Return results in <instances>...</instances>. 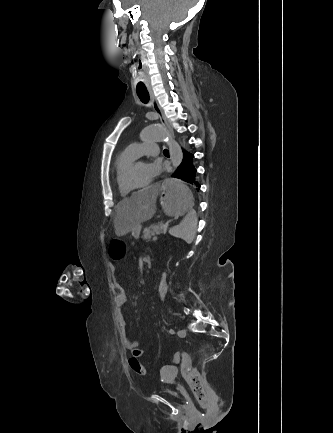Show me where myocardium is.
<instances>
[{
    "label": "myocardium",
    "mask_w": 333,
    "mask_h": 433,
    "mask_svg": "<svg viewBox=\"0 0 333 433\" xmlns=\"http://www.w3.org/2000/svg\"><path fill=\"white\" fill-rule=\"evenodd\" d=\"M139 161H137L136 159L133 161V162H131L127 167H126V169L124 170V172H123V175H122V178H121V183H122V186L125 188V189H127L128 191H139V190H141V189H144V188H147L148 186H150V182H147V183H144V184H142V185H133L132 183H131V176H132V173H133V171H134V168H135V166H136V164L138 163Z\"/></svg>",
    "instance_id": "myocardium-1"
}]
</instances>
